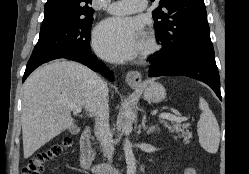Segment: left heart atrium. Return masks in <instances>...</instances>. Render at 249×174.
Segmentation results:
<instances>
[{
	"label": "left heart atrium",
	"instance_id": "39dd6f15",
	"mask_svg": "<svg viewBox=\"0 0 249 174\" xmlns=\"http://www.w3.org/2000/svg\"><path fill=\"white\" fill-rule=\"evenodd\" d=\"M142 26L136 18L114 17L95 30L94 47L104 58L123 62L134 58L141 48Z\"/></svg>",
	"mask_w": 249,
	"mask_h": 174
}]
</instances>
